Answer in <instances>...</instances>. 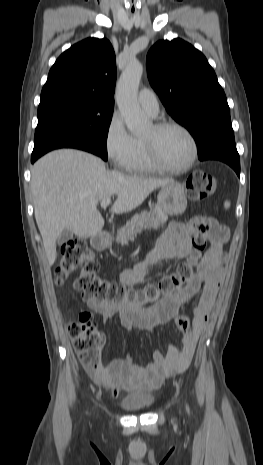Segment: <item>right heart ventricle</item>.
Listing matches in <instances>:
<instances>
[{
    "mask_svg": "<svg viewBox=\"0 0 263 465\" xmlns=\"http://www.w3.org/2000/svg\"><path fill=\"white\" fill-rule=\"evenodd\" d=\"M135 139V154L128 170L135 173H147L156 170L149 162L141 138Z\"/></svg>",
    "mask_w": 263,
    "mask_h": 465,
    "instance_id": "right-heart-ventricle-1",
    "label": "right heart ventricle"
}]
</instances>
